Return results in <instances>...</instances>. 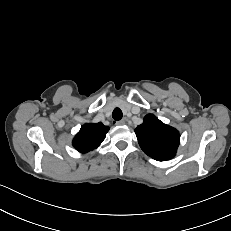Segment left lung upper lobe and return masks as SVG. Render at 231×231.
I'll list each match as a JSON object with an SVG mask.
<instances>
[{
    "mask_svg": "<svg viewBox=\"0 0 231 231\" xmlns=\"http://www.w3.org/2000/svg\"><path fill=\"white\" fill-rule=\"evenodd\" d=\"M135 133L141 149L158 161L169 160L176 154L180 135L169 125L164 124L153 114H148L144 122L137 126Z\"/></svg>",
    "mask_w": 231,
    "mask_h": 231,
    "instance_id": "obj_1",
    "label": "left lung upper lobe"
}]
</instances>
